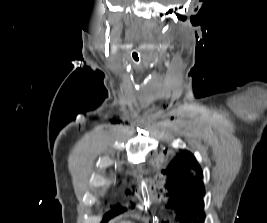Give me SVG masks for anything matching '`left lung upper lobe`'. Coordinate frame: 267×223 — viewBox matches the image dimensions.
Returning <instances> with one entry per match:
<instances>
[{
  "label": "left lung upper lobe",
  "mask_w": 267,
  "mask_h": 223,
  "mask_svg": "<svg viewBox=\"0 0 267 223\" xmlns=\"http://www.w3.org/2000/svg\"><path fill=\"white\" fill-rule=\"evenodd\" d=\"M194 172H197L200 178L203 177L194 155L186 150L177 154L167 169L162 170V173L168 176L166 187L171 195L168 206L162 209V214H181L184 219L185 215H189L191 219L195 217L196 223V217L200 219V223L204 222L205 189L203 181L193 176Z\"/></svg>",
  "instance_id": "5c2ea615"
}]
</instances>
